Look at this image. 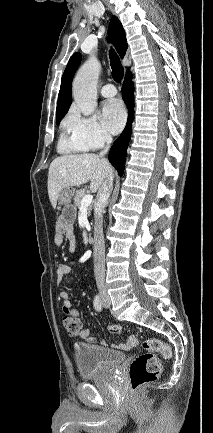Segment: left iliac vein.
<instances>
[{"label": "left iliac vein", "mask_w": 213, "mask_h": 433, "mask_svg": "<svg viewBox=\"0 0 213 433\" xmlns=\"http://www.w3.org/2000/svg\"><path fill=\"white\" fill-rule=\"evenodd\" d=\"M110 305H111V301H110L109 296L107 294H104V296H103V306L105 308H109Z\"/></svg>", "instance_id": "4c4485c4"}]
</instances>
